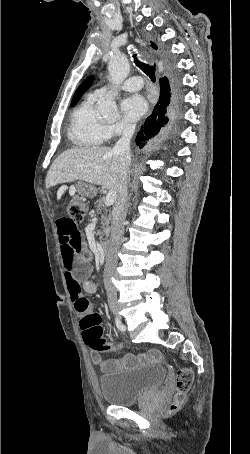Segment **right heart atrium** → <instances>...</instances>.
<instances>
[{"label": "right heart atrium", "instance_id": "obj_1", "mask_svg": "<svg viewBox=\"0 0 250 454\" xmlns=\"http://www.w3.org/2000/svg\"><path fill=\"white\" fill-rule=\"evenodd\" d=\"M110 135H121L130 130V126L124 123H116L108 126Z\"/></svg>", "mask_w": 250, "mask_h": 454}]
</instances>
